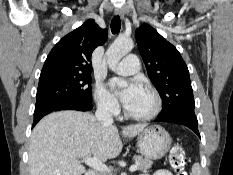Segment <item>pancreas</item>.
<instances>
[{"mask_svg":"<svg viewBox=\"0 0 233 175\" xmlns=\"http://www.w3.org/2000/svg\"><path fill=\"white\" fill-rule=\"evenodd\" d=\"M134 160L138 164L139 170H148L149 168H151L153 164V162L150 159L145 158L143 156H134Z\"/></svg>","mask_w":233,"mask_h":175,"instance_id":"obj_1","label":"pancreas"}]
</instances>
